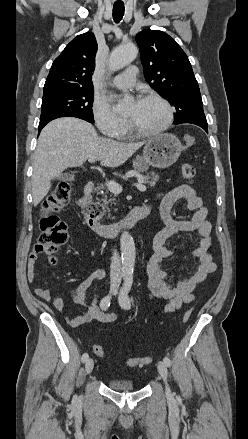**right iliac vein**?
Instances as JSON below:
<instances>
[{"label": "right iliac vein", "instance_id": "1", "mask_svg": "<svg viewBox=\"0 0 248 439\" xmlns=\"http://www.w3.org/2000/svg\"><path fill=\"white\" fill-rule=\"evenodd\" d=\"M94 368V360L92 358L88 359L85 364V372L90 374Z\"/></svg>", "mask_w": 248, "mask_h": 439}]
</instances>
